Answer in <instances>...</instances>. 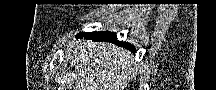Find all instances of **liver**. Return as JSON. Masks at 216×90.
I'll return each mask as SVG.
<instances>
[{"label":"liver","mask_w":216,"mask_h":90,"mask_svg":"<svg viewBox=\"0 0 216 90\" xmlns=\"http://www.w3.org/2000/svg\"><path fill=\"white\" fill-rule=\"evenodd\" d=\"M68 60L76 78L74 90H124L132 74V54L106 42L74 40Z\"/></svg>","instance_id":"obj_1"}]
</instances>
